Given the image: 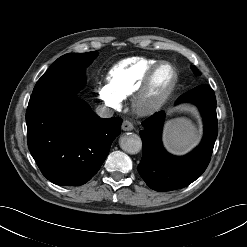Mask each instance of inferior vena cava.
Segmentation results:
<instances>
[{"label":"inferior vena cava","instance_id":"602c4592","mask_svg":"<svg viewBox=\"0 0 247 247\" xmlns=\"http://www.w3.org/2000/svg\"><path fill=\"white\" fill-rule=\"evenodd\" d=\"M96 113L99 117H102V118H110L113 116V110L106 106L97 107Z\"/></svg>","mask_w":247,"mask_h":247}]
</instances>
